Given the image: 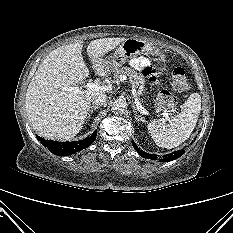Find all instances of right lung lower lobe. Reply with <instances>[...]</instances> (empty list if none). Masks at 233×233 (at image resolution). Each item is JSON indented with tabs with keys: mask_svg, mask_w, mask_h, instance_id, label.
I'll return each instance as SVG.
<instances>
[{
	"mask_svg": "<svg viewBox=\"0 0 233 233\" xmlns=\"http://www.w3.org/2000/svg\"><path fill=\"white\" fill-rule=\"evenodd\" d=\"M96 136H97V131H95L91 136L80 141L57 142V141L45 140L36 135L38 141H40L41 144L47 147L50 152L59 156L72 155L80 150L88 148L94 142Z\"/></svg>",
	"mask_w": 233,
	"mask_h": 233,
	"instance_id": "obj_1",
	"label": "right lung lower lobe"
}]
</instances>
